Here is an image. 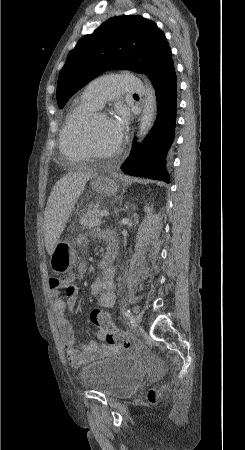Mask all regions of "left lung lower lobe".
<instances>
[{
	"instance_id": "0a47b994",
	"label": "left lung lower lobe",
	"mask_w": 245,
	"mask_h": 450,
	"mask_svg": "<svg viewBox=\"0 0 245 450\" xmlns=\"http://www.w3.org/2000/svg\"><path fill=\"white\" fill-rule=\"evenodd\" d=\"M157 97V118L139 149L135 142L130 156L121 166L132 176H143L169 183L166 154L174 137L176 122L177 78L173 60L150 77Z\"/></svg>"
}]
</instances>
